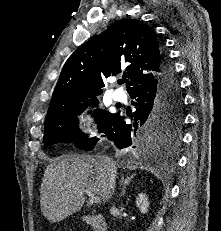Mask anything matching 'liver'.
I'll list each match as a JSON object with an SVG mask.
<instances>
[{
    "label": "liver",
    "mask_w": 221,
    "mask_h": 231,
    "mask_svg": "<svg viewBox=\"0 0 221 231\" xmlns=\"http://www.w3.org/2000/svg\"><path fill=\"white\" fill-rule=\"evenodd\" d=\"M107 172L99 159L90 155H63L51 162L40 188V206L52 223L79 211L85 203L84 191L109 200Z\"/></svg>",
    "instance_id": "6515ba94"
}]
</instances>
